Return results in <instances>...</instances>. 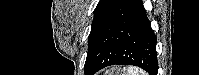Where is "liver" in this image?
<instances>
[{
  "mask_svg": "<svg viewBox=\"0 0 199 75\" xmlns=\"http://www.w3.org/2000/svg\"><path fill=\"white\" fill-rule=\"evenodd\" d=\"M116 72L112 71V72H107V75H114Z\"/></svg>",
  "mask_w": 199,
  "mask_h": 75,
  "instance_id": "obj_1",
  "label": "liver"
}]
</instances>
